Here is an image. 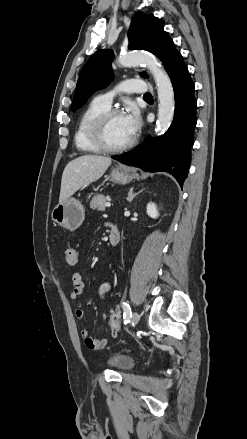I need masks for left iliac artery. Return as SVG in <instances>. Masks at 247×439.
Returning <instances> with one entry per match:
<instances>
[{
	"mask_svg": "<svg viewBox=\"0 0 247 439\" xmlns=\"http://www.w3.org/2000/svg\"><path fill=\"white\" fill-rule=\"evenodd\" d=\"M122 309H123V318L124 323L126 324L129 322L130 318L132 317V312L129 304L127 302H122Z\"/></svg>",
	"mask_w": 247,
	"mask_h": 439,
	"instance_id": "left-iliac-artery-1",
	"label": "left iliac artery"
}]
</instances>
